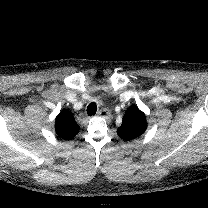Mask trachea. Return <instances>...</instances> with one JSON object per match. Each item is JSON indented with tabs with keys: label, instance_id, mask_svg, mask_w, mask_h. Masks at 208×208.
Segmentation results:
<instances>
[{
	"label": "trachea",
	"instance_id": "trachea-1",
	"mask_svg": "<svg viewBox=\"0 0 208 208\" xmlns=\"http://www.w3.org/2000/svg\"><path fill=\"white\" fill-rule=\"evenodd\" d=\"M96 111H97V105H96V103H90L87 106V114L88 115H95L96 114Z\"/></svg>",
	"mask_w": 208,
	"mask_h": 208
}]
</instances>
